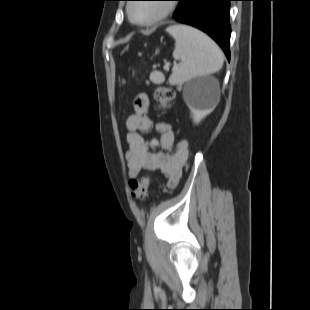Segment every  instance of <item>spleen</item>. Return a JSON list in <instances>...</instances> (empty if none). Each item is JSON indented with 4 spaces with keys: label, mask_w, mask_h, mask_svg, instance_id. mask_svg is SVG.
<instances>
[{
    "label": "spleen",
    "mask_w": 310,
    "mask_h": 310,
    "mask_svg": "<svg viewBox=\"0 0 310 310\" xmlns=\"http://www.w3.org/2000/svg\"><path fill=\"white\" fill-rule=\"evenodd\" d=\"M166 31L175 39L173 57L181 61V65L169 78L170 85L213 74L222 68L223 52L202 31L181 24L168 27Z\"/></svg>",
    "instance_id": "3e777b00"
}]
</instances>
